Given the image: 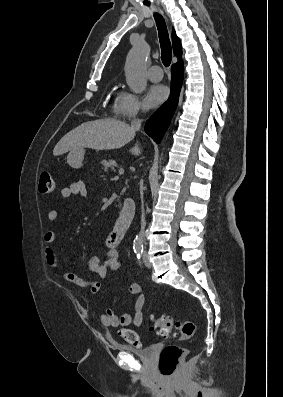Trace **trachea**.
<instances>
[{
	"label": "trachea",
	"mask_w": 283,
	"mask_h": 397,
	"mask_svg": "<svg viewBox=\"0 0 283 397\" xmlns=\"http://www.w3.org/2000/svg\"><path fill=\"white\" fill-rule=\"evenodd\" d=\"M154 18L159 34V42L161 46V60L164 66L168 67L171 63L172 49L167 26L164 18L160 14L154 13Z\"/></svg>",
	"instance_id": "1"
}]
</instances>
